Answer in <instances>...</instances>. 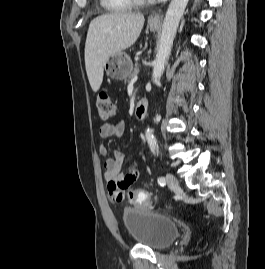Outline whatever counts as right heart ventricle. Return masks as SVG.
Instances as JSON below:
<instances>
[{"label": "right heart ventricle", "instance_id": "right-heart-ventricle-1", "mask_svg": "<svg viewBox=\"0 0 265 269\" xmlns=\"http://www.w3.org/2000/svg\"><path fill=\"white\" fill-rule=\"evenodd\" d=\"M102 6L108 12H125L131 9L132 4L129 0H100Z\"/></svg>", "mask_w": 265, "mask_h": 269}]
</instances>
